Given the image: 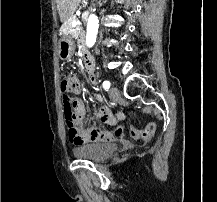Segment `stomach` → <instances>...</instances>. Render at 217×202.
I'll return each mask as SVG.
<instances>
[{"label":"stomach","instance_id":"stomach-1","mask_svg":"<svg viewBox=\"0 0 217 202\" xmlns=\"http://www.w3.org/2000/svg\"><path fill=\"white\" fill-rule=\"evenodd\" d=\"M74 52V42L70 36H62L59 46L58 54L60 60H69L73 56Z\"/></svg>","mask_w":217,"mask_h":202}]
</instances>
